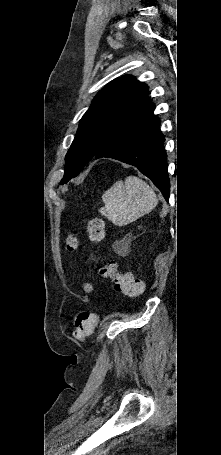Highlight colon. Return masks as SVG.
<instances>
[{
  "label": "colon",
  "mask_w": 221,
  "mask_h": 455,
  "mask_svg": "<svg viewBox=\"0 0 221 455\" xmlns=\"http://www.w3.org/2000/svg\"><path fill=\"white\" fill-rule=\"evenodd\" d=\"M86 232L91 241L101 242L105 235L103 220L96 216L88 218L86 221ZM65 249L70 254L77 251L78 240L73 234H69L65 239ZM99 275L112 281L114 289L128 297H138L144 292V282L129 273L118 271L114 262L102 263L99 268ZM96 324L97 316L95 313L89 311L80 312L75 320L74 338L78 341H83L93 332Z\"/></svg>",
  "instance_id": "5ec220e1"
}]
</instances>
